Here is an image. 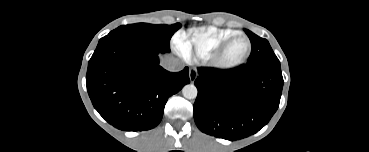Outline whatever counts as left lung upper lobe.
Listing matches in <instances>:
<instances>
[{"label": "left lung upper lobe", "mask_w": 369, "mask_h": 152, "mask_svg": "<svg viewBox=\"0 0 369 152\" xmlns=\"http://www.w3.org/2000/svg\"><path fill=\"white\" fill-rule=\"evenodd\" d=\"M246 34L250 38L252 50L247 64H263L274 63L280 64V61L274 54L269 42L251 31L245 29Z\"/></svg>", "instance_id": "1"}]
</instances>
